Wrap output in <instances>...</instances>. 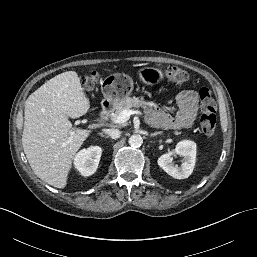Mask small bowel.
I'll use <instances>...</instances> for the list:
<instances>
[{
  "label": "small bowel",
  "mask_w": 257,
  "mask_h": 257,
  "mask_svg": "<svg viewBox=\"0 0 257 257\" xmlns=\"http://www.w3.org/2000/svg\"><path fill=\"white\" fill-rule=\"evenodd\" d=\"M178 112L171 116L166 113L157 111L152 108L155 116V122L163 128H189L191 127L197 116L198 97L193 90H183L177 95Z\"/></svg>",
  "instance_id": "1"
}]
</instances>
